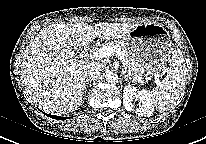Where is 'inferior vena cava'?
Returning <instances> with one entry per match:
<instances>
[{
    "label": "inferior vena cava",
    "instance_id": "obj_1",
    "mask_svg": "<svg viewBox=\"0 0 206 144\" xmlns=\"http://www.w3.org/2000/svg\"><path fill=\"white\" fill-rule=\"evenodd\" d=\"M101 69H102L101 64L97 62L90 63L89 65H87V68L85 71L86 79L93 80L94 78L98 77Z\"/></svg>",
    "mask_w": 206,
    "mask_h": 144
}]
</instances>
